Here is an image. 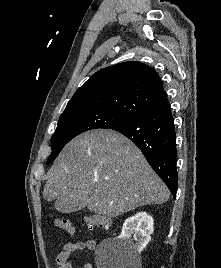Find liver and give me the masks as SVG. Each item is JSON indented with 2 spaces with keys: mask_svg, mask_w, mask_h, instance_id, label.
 I'll return each instance as SVG.
<instances>
[{
  "mask_svg": "<svg viewBox=\"0 0 221 268\" xmlns=\"http://www.w3.org/2000/svg\"><path fill=\"white\" fill-rule=\"evenodd\" d=\"M170 192L141 151L113 130H93L71 140L48 172L47 201L116 217L140 206L161 204Z\"/></svg>",
  "mask_w": 221,
  "mask_h": 268,
  "instance_id": "obj_1",
  "label": "liver"
}]
</instances>
